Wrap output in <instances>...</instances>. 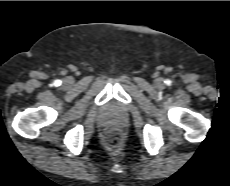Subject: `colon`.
<instances>
[{
    "label": "colon",
    "mask_w": 230,
    "mask_h": 186,
    "mask_svg": "<svg viewBox=\"0 0 230 186\" xmlns=\"http://www.w3.org/2000/svg\"><path fill=\"white\" fill-rule=\"evenodd\" d=\"M123 142V136L119 129L108 128L103 133V143L105 147L113 152L120 150Z\"/></svg>",
    "instance_id": "obj_1"
}]
</instances>
